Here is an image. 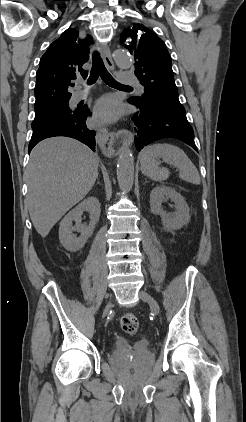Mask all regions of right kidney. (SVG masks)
Instances as JSON below:
<instances>
[{
	"instance_id": "obj_1",
	"label": "right kidney",
	"mask_w": 246,
	"mask_h": 422,
	"mask_svg": "<svg viewBox=\"0 0 246 422\" xmlns=\"http://www.w3.org/2000/svg\"><path fill=\"white\" fill-rule=\"evenodd\" d=\"M84 211L90 214V223L88 226L81 224V216ZM100 203L96 197H88L78 206L71 210L61 221L59 226V239L62 246L71 252L79 251L92 235L95 225L100 218ZM75 221V226L72 222ZM73 231L80 232V236L73 235Z\"/></svg>"
}]
</instances>
